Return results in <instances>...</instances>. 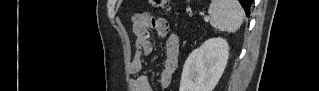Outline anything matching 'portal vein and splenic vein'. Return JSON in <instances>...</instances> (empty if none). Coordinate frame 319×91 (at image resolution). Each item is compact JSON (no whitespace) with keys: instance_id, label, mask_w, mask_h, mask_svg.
Wrapping results in <instances>:
<instances>
[{"instance_id":"18ae733b","label":"portal vein and splenic vein","mask_w":319,"mask_h":91,"mask_svg":"<svg viewBox=\"0 0 319 91\" xmlns=\"http://www.w3.org/2000/svg\"><path fill=\"white\" fill-rule=\"evenodd\" d=\"M205 19V21H208L209 20V18L208 17H206V18H204Z\"/></svg>"}]
</instances>
